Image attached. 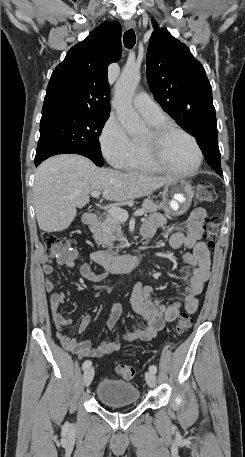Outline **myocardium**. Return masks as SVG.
I'll use <instances>...</instances> for the list:
<instances>
[{
	"instance_id": "1",
	"label": "myocardium",
	"mask_w": 245,
	"mask_h": 457,
	"mask_svg": "<svg viewBox=\"0 0 245 457\" xmlns=\"http://www.w3.org/2000/svg\"><path fill=\"white\" fill-rule=\"evenodd\" d=\"M151 133L155 137L156 141L158 144H163L168 136L174 132H178L186 136L192 143V148L195 152L196 155V163L194 167L190 170H175L172 168H169L167 166L162 165L161 163L155 161L149 154L148 147L146 142L143 139H139V153L143 161L152 169L169 173V174H174V175H180V176H189L194 174L200 167L202 163V152L199 148V145L197 143V140L193 135H191L188 131L183 129L182 127L178 126L177 124H174L169 121H165L162 123L154 124L150 128Z\"/></svg>"
}]
</instances>
